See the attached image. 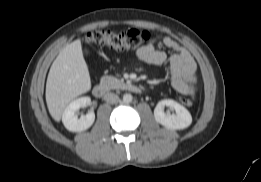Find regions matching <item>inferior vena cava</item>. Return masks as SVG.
Listing matches in <instances>:
<instances>
[{"instance_id":"obj_1","label":"inferior vena cava","mask_w":261,"mask_h":182,"mask_svg":"<svg viewBox=\"0 0 261 182\" xmlns=\"http://www.w3.org/2000/svg\"><path fill=\"white\" fill-rule=\"evenodd\" d=\"M104 100H105L107 103L115 104V103H118V102H119V97H118V95H116V94H114V93H107V94L104 96Z\"/></svg>"}]
</instances>
